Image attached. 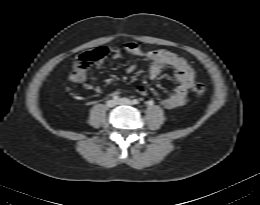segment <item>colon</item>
<instances>
[{
  "mask_svg": "<svg viewBox=\"0 0 260 205\" xmlns=\"http://www.w3.org/2000/svg\"><path fill=\"white\" fill-rule=\"evenodd\" d=\"M145 50H150L148 46H142ZM156 51H161L160 49ZM107 54V49L103 46L95 48L90 51H86L80 54L75 60V67L81 70H86L89 68L93 63L103 59ZM192 93L195 96H203L207 90L205 84L203 83H195L192 86Z\"/></svg>",
  "mask_w": 260,
  "mask_h": 205,
  "instance_id": "colon-1",
  "label": "colon"
}]
</instances>
